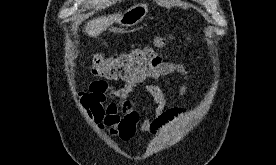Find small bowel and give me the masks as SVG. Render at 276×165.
I'll list each match as a JSON object with an SVG mask.
<instances>
[{
  "label": "small bowel",
  "instance_id": "small-bowel-1",
  "mask_svg": "<svg viewBox=\"0 0 276 165\" xmlns=\"http://www.w3.org/2000/svg\"><path fill=\"white\" fill-rule=\"evenodd\" d=\"M174 73L183 75L185 79L188 78L183 65L175 62H162L150 75L125 81L120 87L111 86L103 80L93 81L89 90L80 94L81 106L99 129H107L112 136L120 138L123 142L132 140L138 129L141 134H156L161 128L180 117L183 111L180 108L166 109L160 89L144 83L147 80ZM140 85L157 104L154 114L146 113L143 118L130 99V95ZM186 90V85H182L176 96L182 97Z\"/></svg>",
  "mask_w": 276,
  "mask_h": 165
}]
</instances>
